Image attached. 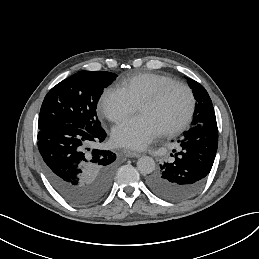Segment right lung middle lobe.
<instances>
[{"instance_id":"dd1d6c3e","label":"right lung middle lobe","mask_w":259,"mask_h":259,"mask_svg":"<svg viewBox=\"0 0 259 259\" xmlns=\"http://www.w3.org/2000/svg\"><path fill=\"white\" fill-rule=\"evenodd\" d=\"M116 76L106 71H80L58 83L44 98L39 130L56 124H73L85 130L101 127L97 102Z\"/></svg>"}]
</instances>
